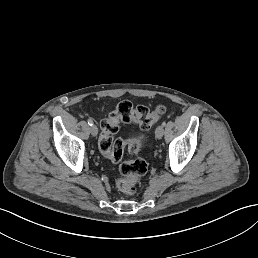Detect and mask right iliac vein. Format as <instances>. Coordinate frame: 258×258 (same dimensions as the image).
<instances>
[{"instance_id": "obj_1", "label": "right iliac vein", "mask_w": 258, "mask_h": 258, "mask_svg": "<svg viewBox=\"0 0 258 258\" xmlns=\"http://www.w3.org/2000/svg\"><path fill=\"white\" fill-rule=\"evenodd\" d=\"M89 130H90V133H91L92 135H94V136L97 135L98 132H99L98 129H97V127L94 126V125L91 126Z\"/></svg>"}]
</instances>
